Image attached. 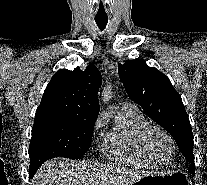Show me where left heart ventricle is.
<instances>
[{
  "label": "left heart ventricle",
  "mask_w": 207,
  "mask_h": 185,
  "mask_svg": "<svg viewBox=\"0 0 207 185\" xmlns=\"http://www.w3.org/2000/svg\"><path fill=\"white\" fill-rule=\"evenodd\" d=\"M152 144L156 152L164 159L171 158L173 154V146L171 142L159 133L152 136Z\"/></svg>",
  "instance_id": "obj_1"
}]
</instances>
